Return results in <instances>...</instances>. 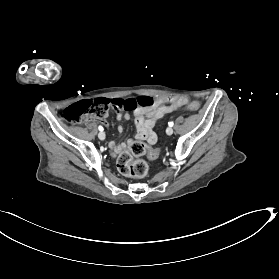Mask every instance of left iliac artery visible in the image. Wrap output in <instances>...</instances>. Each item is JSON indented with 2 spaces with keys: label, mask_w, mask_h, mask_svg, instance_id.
Masks as SVG:
<instances>
[{
  "label": "left iliac artery",
  "mask_w": 279,
  "mask_h": 279,
  "mask_svg": "<svg viewBox=\"0 0 279 279\" xmlns=\"http://www.w3.org/2000/svg\"><path fill=\"white\" fill-rule=\"evenodd\" d=\"M173 124H174V123H173L172 121L168 123V125H169L170 127H172Z\"/></svg>",
  "instance_id": "left-iliac-artery-1"
}]
</instances>
